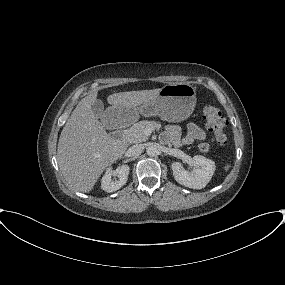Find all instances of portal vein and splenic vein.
<instances>
[{
    "mask_svg": "<svg viewBox=\"0 0 285 285\" xmlns=\"http://www.w3.org/2000/svg\"><path fill=\"white\" fill-rule=\"evenodd\" d=\"M145 133H146L147 135H150V134L152 133V130H151L150 128H148V129L145 130Z\"/></svg>",
    "mask_w": 285,
    "mask_h": 285,
    "instance_id": "obj_1",
    "label": "portal vein and splenic vein"
}]
</instances>
